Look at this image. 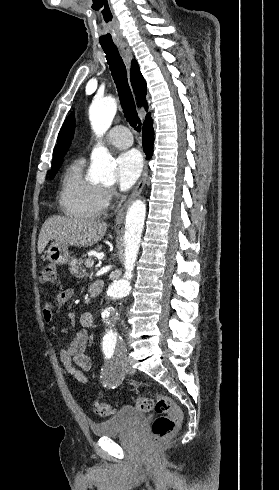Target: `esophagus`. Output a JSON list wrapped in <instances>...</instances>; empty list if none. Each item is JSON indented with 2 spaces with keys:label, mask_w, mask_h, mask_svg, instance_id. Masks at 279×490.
I'll return each instance as SVG.
<instances>
[{
  "label": "esophagus",
  "mask_w": 279,
  "mask_h": 490,
  "mask_svg": "<svg viewBox=\"0 0 279 490\" xmlns=\"http://www.w3.org/2000/svg\"><path fill=\"white\" fill-rule=\"evenodd\" d=\"M120 53L122 55V58L127 66V69L130 70V64L131 60L133 58V52L131 48L129 47L128 44H123L119 46ZM148 165L145 163L142 175L140 177V180L138 182V185L134 189L133 193L130 195V197L126 200V202L123 204V206L120 208L119 212L117 213L115 217V225H120L125 217L127 208L134 202V200L140 195L142 192V189L144 188V185L146 183L147 177H148Z\"/></svg>",
  "instance_id": "esophagus-1"
}]
</instances>
